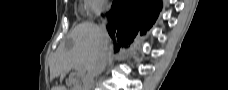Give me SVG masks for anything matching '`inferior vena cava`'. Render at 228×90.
Segmentation results:
<instances>
[{"mask_svg":"<svg viewBox=\"0 0 228 90\" xmlns=\"http://www.w3.org/2000/svg\"><path fill=\"white\" fill-rule=\"evenodd\" d=\"M107 20H103L102 24L100 25V32H101V48L100 52L96 58L95 63L93 64L92 68L88 72V78L84 82V90H91L94 86V78L100 75L105 67H106V60H107V49H108V33L106 29Z\"/></svg>","mask_w":228,"mask_h":90,"instance_id":"602c4592","label":"inferior vena cava"}]
</instances>
